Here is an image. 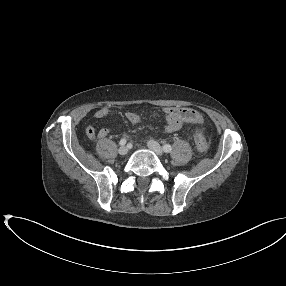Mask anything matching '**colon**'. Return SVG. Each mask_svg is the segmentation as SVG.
Returning a JSON list of instances; mask_svg holds the SVG:
<instances>
[{
	"mask_svg": "<svg viewBox=\"0 0 286 286\" xmlns=\"http://www.w3.org/2000/svg\"><path fill=\"white\" fill-rule=\"evenodd\" d=\"M194 142L199 152L204 153L208 150V141L202 131H195Z\"/></svg>",
	"mask_w": 286,
	"mask_h": 286,
	"instance_id": "colon-1",
	"label": "colon"
}]
</instances>
